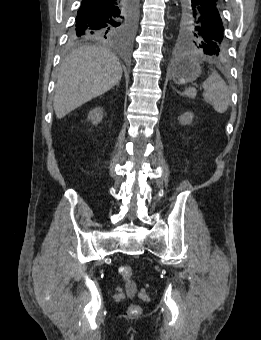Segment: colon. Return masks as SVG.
Instances as JSON below:
<instances>
[{"instance_id": "obj_1", "label": "colon", "mask_w": 261, "mask_h": 340, "mask_svg": "<svg viewBox=\"0 0 261 340\" xmlns=\"http://www.w3.org/2000/svg\"><path fill=\"white\" fill-rule=\"evenodd\" d=\"M119 274L124 282L127 284H132V279L134 275V271L132 267L128 265H123L119 268ZM129 313L131 314H139L141 312V307L137 304H131L128 308Z\"/></svg>"}]
</instances>
